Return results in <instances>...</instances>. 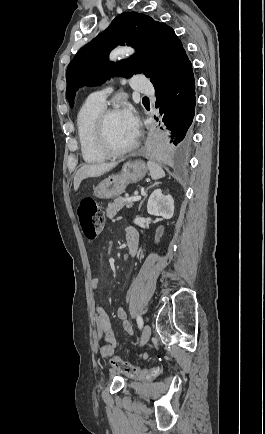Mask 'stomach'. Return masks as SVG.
I'll use <instances>...</instances> for the list:
<instances>
[{"label":"stomach","instance_id":"1","mask_svg":"<svg viewBox=\"0 0 265 434\" xmlns=\"http://www.w3.org/2000/svg\"><path fill=\"white\" fill-rule=\"evenodd\" d=\"M148 168L142 160L135 162H126L122 168L121 174L109 176L106 180H102L96 188H94V196L96 198H116L120 194H124L128 184H136L142 178H145Z\"/></svg>","mask_w":265,"mask_h":434}]
</instances>
